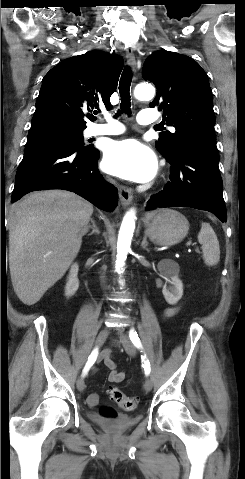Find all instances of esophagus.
<instances>
[{
  "mask_svg": "<svg viewBox=\"0 0 245 479\" xmlns=\"http://www.w3.org/2000/svg\"><path fill=\"white\" fill-rule=\"evenodd\" d=\"M126 59H127L128 65L133 70H135V68H136V58H135L132 47H128L126 49ZM119 197H120L121 204L123 206L129 205L133 200V195H132L131 190L129 188L125 187V186H120Z\"/></svg>",
  "mask_w": 245,
  "mask_h": 479,
  "instance_id": "esophagus-1",
  "label": "esophagus"
}]
</instances>
